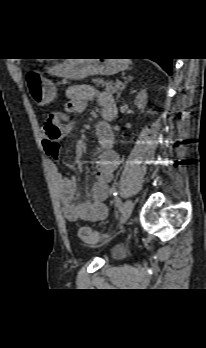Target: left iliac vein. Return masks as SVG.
<instances>
[{
    "label": "left iliac vein",
    "mask_w": 206,
    "mask_h": 348,
    "mask_svg": "<svg viewBox=\"0 0 206 348\" xmlns=\"http://www.w3.org/2000/svg\"><path fill=\"white\" fill-rule=\"evenodd\" d=\"M132 210H133V203L131 200H127L122 207L120 224L125 223L129 219V217L131 216Z\"/></svg>",
    "instance_id": "1"
}]
</instances>
